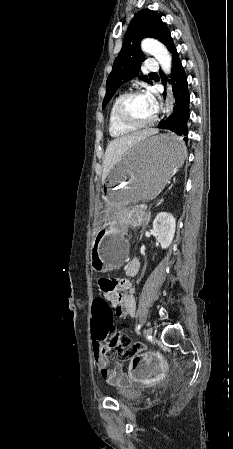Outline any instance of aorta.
Returning a JSON list of instances; mask_svg holds the SVG:
<instances>
[{"label": "aorta", "instance_id": "1", "mask_svg": "<svg viewBox=\"0 0 233 449\" xmlns=\"http://www.w3.org/2000/svg\"><path fill=\"white\" fill-rule=\"evenodd\" d=\"M141 48L145 53H148L157 59L165 74L171 73L172 59L168 50L162 43L154 39H145L141 43ZM167 113L169 114L170 110H167Z\"/></svg>", "mask_w": 233, "mask_h": 449}]
</instances>
